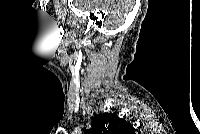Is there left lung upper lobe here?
<instances>
[{"label": "left lung upper lobe", "instance_id": "left-lung-upper-lobe-1", "mask_svg": "<svg viewBox=\"0 0 200 134\" xmlns=\"http://www.w3.org/2000/svg\"><path fill=\"white\" fill-rule=\"evenodd\" d=\"M92 128L85 134H135L134 127L115 114H99L92 119Z\"/></svg>", "mask_w": 200, "mask_h": 134}]
</instances>
